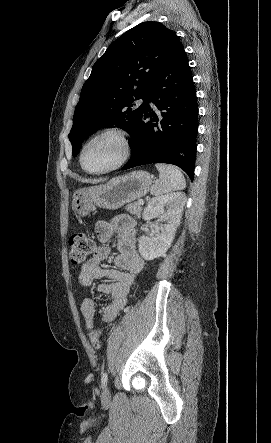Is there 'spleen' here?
Masks as SVG:
<instances>
[{
    "mask_svg": "<svg viewBox=\"0 0 271 443\" xmlns=\"http://www.w3.org/2000/svg\"><path fill=\"white\" fill-rule=\"evenodd\" d=\"M159 172V180L151 186L150 194L152 196H163L168 192H176V190H184L186 188L185 178L179 170L174 166H164V164H156Z\"/></svg>",
    "mask_w": 271,
    "mask_h": 443,
    "instance_id": "1",
    "label": "spleen"
}]
</instances>
